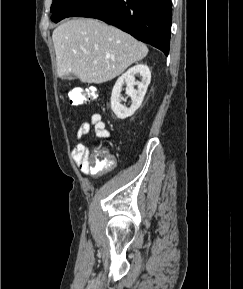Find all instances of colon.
<instances>
[{
  "instance_id": "colon-1",
  "label": "colon",
  "mask_w": 243,
  "mask_h": 289,
  "mask_svg": "<svg viewBox=\"0 0 243 289\" xmlns=\"http://www.w3.org/2000/svg\"><path fill=\"white\" fill-rule=\"evenodd\" d=\"M98 96L97 91L93 88L82 89L74 88L67 93L69 103L73 106L86 104ZM114 157L106 150H97L89 157V164L95 173H102L110 170L114 166Z\"/></svg>"
}]
</instances>
